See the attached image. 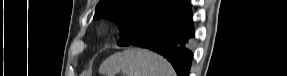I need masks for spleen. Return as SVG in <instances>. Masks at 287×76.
<instances>
[{
    "label": "spleen",
    "instance_id": "obj_1",
    "mask_svg": "<svg viewBox=\"0 0 287 76\" xmlns=\"http://www.w3.org/2000/svg\"><path fill=\"white\" fill-rule=\"evenodd\" d=\"M175 76L171 64L162 56L140 48H130L108 57L100 66L105 76Z\"/></svg>",
    "mask_w": 287,
    "mask_h": 76
}]
</instances>
